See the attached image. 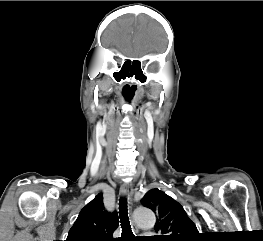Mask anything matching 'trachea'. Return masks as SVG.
<instances>
[{"label":"trachea","mask_w":263,"mask_h":241,"mask_svg":"<svg viewBox=\"0 0 263 241\" xmlns=\"http://www.w3.org/2000/svg\"><path fill=\"white\" fill-rule=\"evenodd\" d=\"M119 213L122 233L121 237L118 238L117 241H136V237L131 230L130 222L128 219L126 198H120Z\"/></svg>","instance_id":"1"}]
</instances>
